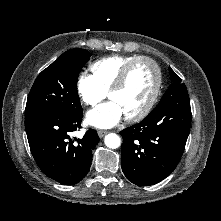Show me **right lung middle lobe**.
Listing matches in <instances>:
<instances>
[{"mask_svg":"<svg viewBox=\"0 0 221 221\" xmlns=\"http://www.w3.org/2000/svg\"><path fill=\"white\" fill-rule=\"evenodd\" d=\"M90 56L85 49H71L44 69L30 90L25 118L50 111L82 113L77 80Z\"/></svg>","mask_w":221,"mask_h":221,"instance_id":"dd1d6c3e","label":"right lung middle lobe"}]
</instances>
